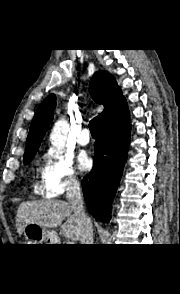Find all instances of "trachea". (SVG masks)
Returning a JSON list of instances; mask_svg holds the SVG:
<instances>
[{
	"mask_svg": "<svg viewBox=\"0 0 180 294\" xmlns=\"http://www.w3.org/2000/svg\"><path fill=\"white\" fill-rule=\"evenodd\" d=\"M99 123H100V117L99 116L94 117L90 121L89 129H90V132H91L92 136H97Z\"/></svg>",
	"mask_w": 180,
	"mask_h": 294,
	"instance_id": "trachea-1",
	"label": "trachea"
}]
</instances>
